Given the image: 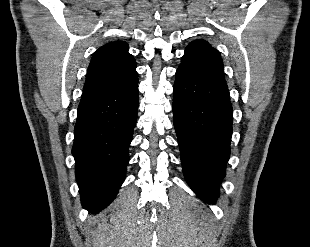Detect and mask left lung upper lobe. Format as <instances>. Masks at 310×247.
<instances>
[{"label":"left lung upper lobe","instance_id":"left-lung-upper-lobe-1","mask_svg":"<svg viewBox=\"0 0 310 247\" xmlns=\"http://www.w3.org/2000/svg\"><path fill=\"white\" fill-rule=\"evenodd\" d=\"M179 69L225 81L223 62L219 52L204 40L189 43Z\"/></svg>","mask_w":310,"mask_h":247}]
</instances>
